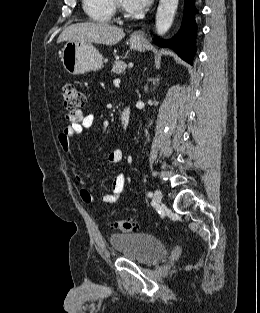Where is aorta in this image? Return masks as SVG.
Wrapping results in <instances>:
<instances>
[{
    "label": "aorta",
    "instance_id": "obj_1",
    "mask_svg": "<svg viewBox=\"0 0 260 313\" xmlns=\"http://www.w3.org/2000/svg\"><path fill=\"white\" fill-rule=\"evenodd\" d=\"M177 6L178 0H160L156 13V31L158 35L163 36L170 29Z\"/></svg>",
    "mask_w": 260,
    "mask_h": 313
}]
</instances>
